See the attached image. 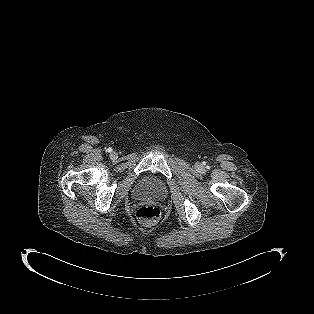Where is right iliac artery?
Returning a JSON list of instances; mask_svg holds the SVG:
<instances>
[{
	"label": "right iliac artery",
	"mask_w": 314,
	"mask_h": 314,
	"mask_svg": "<svg viewBox=\"0 0 314 314\" xmlns=\"http://www.w3.org/2000/svg\"><path fill=\"white\" fill-rule=\"evenodd\" d=\"M106 151H107V152H111V151H112V148L109 147V148L106 149Z\"/></svg>",
	"instance_id": "1"
}]
</instances>
